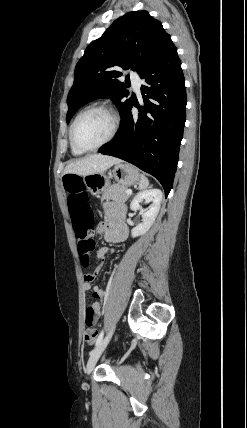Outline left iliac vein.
<instances>
[{
	"instance_id": "left-iliac-vein-1",
	"label": "left iliac vein",
	"mask_w": 247,
	"mask_h": 428,
	"mask_svg": "<svg viewBox=\"0 0 247 428\" xmlns=\"http://www.w3.org/2000/svg\"><path fill=\"white\" fill-rule=\"evenodd\" d=\"M115 327L113 326L112 329L109 331V333L105 336V338L95 347V349L91 352L89 360L87 362L86 366V372L87 374H90L91 371L94 369L98 359L100 358L101 354L105 350L106 346L108 345Z\"/></svg>"
}]
</instances>
